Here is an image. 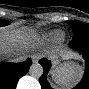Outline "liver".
<instances>
[{
  "instance_id": "liver-1",
  "label": "liver",
  "mask_w": 89,
  "mask_h": 89,
  "mask_svg": "<svg viewBox=\"0 0 89 89\" xmlns=\"http://www.w3.org/2000/svg\"><path fill=\"white\" fill-rule=\"evenodd\" d=\"M37 36L33 30L27 28H3L0 31L1 57L24 56L34 45Z\"/></svg>"
}]
</instances>
